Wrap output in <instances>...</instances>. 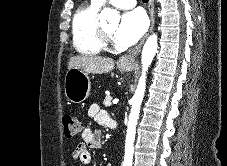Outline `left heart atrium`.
<instances>
[{"label": "left heart atrium", "mask_w": 227, "mask_h": 166, "mask_svg": "<svg viewBox=\"0 0 227 166\" xmlns=\"http://www.w3.org/2000/svg\"><path fill=\"white\" fill-rule=\"evenodd\" d=\"M147 27L148 19L142 10L129 11L121 17L115 39L120 44L132 45L145 33Z\"/></svg>", "instance_id": "1"}]
</instances>
